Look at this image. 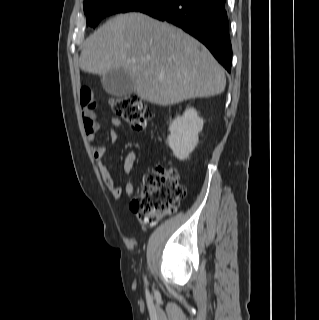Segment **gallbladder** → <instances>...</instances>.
<instances>
[{"label":"gallbladder","mask_w":319,"mask_h":320,"mask_svg":"<svg viewBox=\"0 0 319 320\" xmlns=\"http://www.w3.org/2000/svg\"><path fill=\"white\" fill-rule=\"evenodd\" d=\"M102 86L108 94L117 97L128 96L136 91L135 82L123 69L112 70L105 74Z\"/></svg>","instance_id":"gallbladder-1"}]
</instances>
